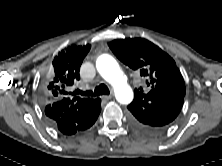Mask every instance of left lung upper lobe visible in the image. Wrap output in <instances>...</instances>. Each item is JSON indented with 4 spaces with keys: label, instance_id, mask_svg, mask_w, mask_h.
I'll return each mask as SVG.
<instances>
[{
    "label": "left lung upper lobe",
    "instance_id": "1",
    "mask_svg": "<svg viewBox=\"0 0 222 166\" xmlns=\"http://www.w3.org/2000/svg\"><path fill=\"white\" fill-rule=\"evenodd\" d=\"M108 46L119 60L140 71L147 79L150 91L145 94L140 88L135 89L134 94L153 97L159 93H177L185 96L184 79L175 61L152 42L142 38L116 39Z\"/></svg>",
    "mask_w": 222,
    "mask_h": 166
}]
</instances>
